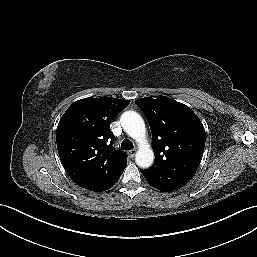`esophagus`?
I'll use <instances>...</instances> for the list:
<instances>
[{
	"label": "esophagus",
	"instance_id": "34e87169",
	"mask_svg": "<svg viewBox=\"0 0 257 257\" xmlns=\"http://www.w3.org/2000/svg\"><path fill=\"white\" fill-rule=\"evenodd\" d=\"M135 154H136V150H135V149H132V150H129V151H128V155H129L131 158H133V157L135 156Z\"/></svg>",
	"mask_w": 257,
	"mask_h": 257
}]
</instances>
